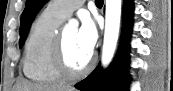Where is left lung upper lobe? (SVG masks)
<instances>
[{
	"instance_id": "obj_1",
	"label": "left lung upper lobe",
	"mask_w": 173,
	"mask_h": 91,
	"mask_svg": "<svg viewBox=\"0 0 173 91\" xmlns=\"http://www.w3.org/2000/svg\"><path fill=\"white\" fill-rule=\"evenodd\" d=\"M47 1L48 0H26V7L22 13L21 22H20V41H19L20 47L23 46V43L26 40L30 26L37 12Z\"/></svg>"
}]
</instances>
